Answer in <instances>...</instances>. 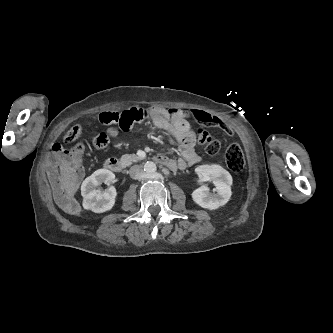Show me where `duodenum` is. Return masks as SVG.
<instances>
[{
    "mask_svg": "<svg viewBox=\"0 0 333 333\" xmlns=\"http://www.w3.org/2000/svg\"><path fill=\"white\" fill-rule=\"evenodd\" d=\"M159 162H164V157H158ZM105 168L111 172L119 173L122 170V164L117 158H109L105 161Z\"/></svg>",
    "mask_w": 333,
    "mask_h": 333,
    "instance_id": "410a0bca",
    "label": "duodenum"
}]
</instances>
